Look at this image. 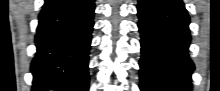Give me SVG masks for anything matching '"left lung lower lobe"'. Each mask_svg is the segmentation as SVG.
Here are the masks:
<instances>
[{"mask_svg":"<svg viewBox=\"0 0 220 91\" xmlns=\"http://www.w3.org/2000/svg\"><path fill=\"white\" fill-rule=\"evenodd\" d=\"M140 90L191 91L190 19L182 0H138Z\"/></svg>","mask_w":220,"mask_h":91,"instance_id":"0a47b994","label":"left lung lower lobe"}]
</instances>
